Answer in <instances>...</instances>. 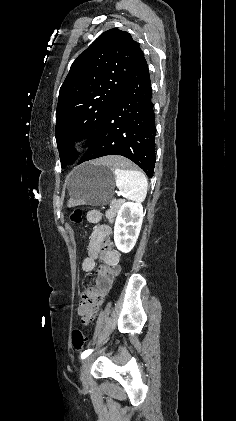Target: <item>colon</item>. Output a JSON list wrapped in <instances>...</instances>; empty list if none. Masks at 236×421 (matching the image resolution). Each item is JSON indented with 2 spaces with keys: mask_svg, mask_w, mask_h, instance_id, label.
Returning <instances> with one entry per match:
<instances>
[{
  "mask_svg": "<svg viewBox=\"0 0 236 421\" xmlns=\"http://www.w3.org/2000/svg\"><path fill=\"white\" fill-rule=\"evenodd\" d=\"M83 217V209L80 207H76L71 210L70 212V220L79 223L81 222ZM71 344L72 347L76 350H81L84 348L86 344V337L84 333L79 329H74L71 333Z\"/></svg>",
  "mask_w": 236,
  "mask_h": 421,
  "instance_id": "colon-1",
  "label": "colon"
}]
</instances>
